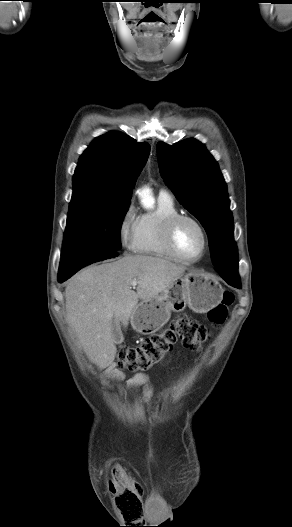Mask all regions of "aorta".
I'll return each instance as SVG.
<instances>
[{
    "label": "aorta",
    "instance_id": "1",
    "mask_svg": "<svg viewBox=\"0 0 292 527\" xmlns=\"http://www.w3.org/2000/svg\"><path fill=\"white\" fill-rule=\"evenodd\" d=\"M142 198H143V199H147V201H144V205H145L146 207H150V208H151V207L153 206V204H154V200L152 199V197H151V191H150L148 188H146V189L143 190V192H142Z\"/></svg>",
    "mask_w": 292,
    "mask_h": 527
}]
</instances>
